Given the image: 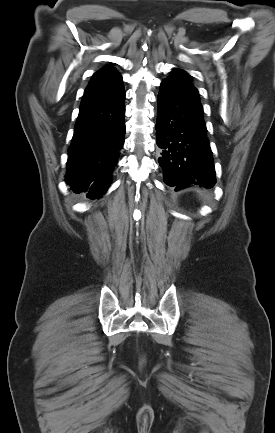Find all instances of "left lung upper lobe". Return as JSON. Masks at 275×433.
I'll return each instance as SVG.
<instances>
[{"instance_id": "left-lung-upper-lobe-1", "label": "left lung upper lobe", "mask_w": 275, "mask_h": 433, "mask_svg": "<svg viewBox=\"0 0 275 433\" xmlns=\"http://www.w3.org/2000/svg\"><path fill=\"white\" fill-rule=\"evenodd\" d=\"M169 77L177 78V79L184 80V81L191 83L190 76L184 70H181L179 68L173 69V71L171 72V76H169Z\"/></svg>"}]
</instances>
